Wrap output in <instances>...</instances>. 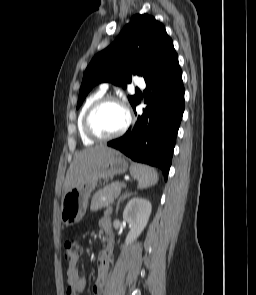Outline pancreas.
Returning <instances> with one entry per match:
<instances>
[{"instance_id": "pancreas-1", "label": "pancreas", "mask_w": 256, "mask_h": 295, "mask_svg": "<svg viewBox=\"0 0 256 295\" xmlns=\"http://www.w3.org/2000/svg\"><path fill=\"white\" fill-rule=\"evenodd\" d=\"M123 187H125L123 182L117 181L98 190L92 197L91 210L97 211L108 207L119 196ZM100 197L106 198V200H101Z\"/></svg>"}]
</instances>
